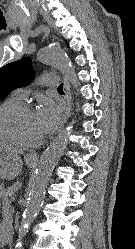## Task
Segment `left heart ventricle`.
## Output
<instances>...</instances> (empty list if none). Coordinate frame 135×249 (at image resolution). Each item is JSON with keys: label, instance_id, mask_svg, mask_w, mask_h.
I'll use <instances>...</instances> for the list:
<instances>
[{"label": "left heart ventricle", "instance_id": "obj_1", "mask_svg": "<svg viewBox=\"0 0 135 249\" xmlns=\"http://www.w3.org/2000/svg\"><path fill=\"white\" fill-rule=\"evenodd\" d=\"M18 134L27 141H35L42 137L35 111L21 113L12 121Z\"/></svg>", "mask_w": 135, "mask_h": 249}]
</instances>
